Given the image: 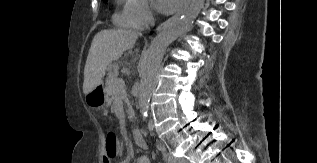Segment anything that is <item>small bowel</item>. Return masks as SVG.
Segmentation results:
<instances>
[{
    "instance_id": "obj_1",
    "label": "small bowel",
    "mask_w": 317,
    "mask_h": 163,
    "mask_svg": "<svg viewBox=\"0 0 317 163\" xmlns=\"http://www.w3.org/2000/svg\"><path fill=\"white\" fill-rule=\"evenodd\" d=\"M102 163H110V160L107 158V156H102ZM135 163H151V161L149 157L141 155L136 158Z\"/></svg>"
}]
</instances>
